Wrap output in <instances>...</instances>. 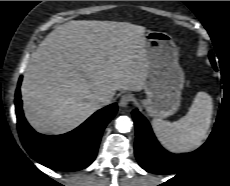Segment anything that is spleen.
Instances as JSON below:
<instances>
[{
	"mask_svg": "<svg viewBox=\"0 0 230 186\" xmlns=\"http://www.w3.org/2000/svg\"><path fill=\"white\" fill-rule=\"evenodd\" d=\"M213 113V101L206 92H198L188 113L175 122L152 120L160 142L174 152H187L199 147L207 138Z\"/></svg>",
	"mask_w": 230,
	"mask_h": 186,
	"instance_id": "1",
	"label": "spleen"
}]
</instances>
